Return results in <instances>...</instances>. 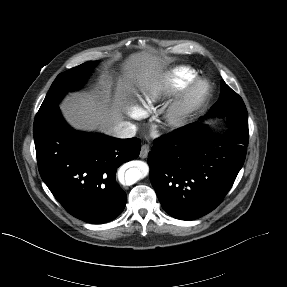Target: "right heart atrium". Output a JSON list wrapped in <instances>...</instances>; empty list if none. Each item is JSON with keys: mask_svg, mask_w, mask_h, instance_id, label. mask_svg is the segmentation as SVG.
Segmentation results:
<instances>
[{"mask_svg": "<svg viewBox=\"0 0 287 287\" xmlns=\"http://www.w3.org/2000/svg\"><path fill=\"white\" fill-rule=\"evenodd\" d=\"M138 114V111L136 110V109H132L131 111H130V115L131 116H136Z\"/></svg>", "mask_w": 287, "mask_h": 287, "instance_id": "obj_1", "label": "right heart atrium"}]
</instances>
